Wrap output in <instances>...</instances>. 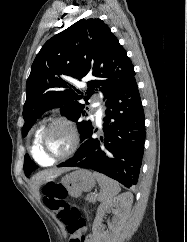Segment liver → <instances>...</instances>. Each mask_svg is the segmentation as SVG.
I'll use <instances>...</instances> for the list:
<instances>
[{
	"instance_id": "obj_1",
	"label": "liver",
	"mask_w": 187,
	"mask_h": 242,
	"mask_svg": "<svg viewBox=\"0 0 187 242\" xmlns=\"http://www.w3.org/2000/svg\"><path fill=\"white\" fill-rule=\"evenodd\" d=\"M67 169H55L50 171H43L36 174L33 177L32 183L35 185V188L38 189L40 185L43 183L52 181L57 176L61 175L62 173L66 172Z\"/></svg>"
}]
</instances>
